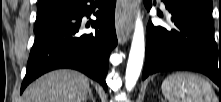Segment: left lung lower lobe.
<instances>
[{"label":"left lung lower lobe","mask_w":221,"mask_h":102,"mask_svg":"<svg viewBox=\"0 0 221 102\" xmlns=\"http://www.w3.org/2000/svg\"><path fill=\"white\" fill-rule=\"evenodd\" d=\"M162 1L175 29L149 23L142 78L160 71L191 70L207 75L221 88V47L214 39L212 19L181 0ZM144 4L151 8V0Z\"/></svg>","instance_id":"obj_1"}]
</instances>
